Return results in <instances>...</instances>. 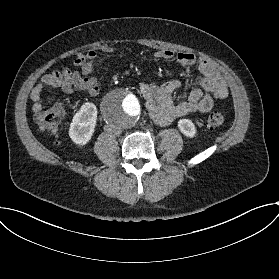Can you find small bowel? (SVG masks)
I'll return each instance as SVG.
<instances>
[{"label":"small bowel","instance_id":"c3829d8e","mask_svg":"<svg viewBox=\"0 0 279 279\" xmlns=\"http://www.w3.org/2000/svg\"><path fill=\"white\" fill-rule=\"evenodd\" d=\"M102 50L111 53L113 48L105 45ZM97 52L88 50L75 57V65L80 71H53L42 76L30 93L32 111L41 112L51 100L43 97L46 88H60L66 94L85 92L92 97L99 94V82L92 77L95 71ZM156 60H176L183 67L196 66L201 75L196 79L197 87L189 93L188 99L183 100L174 94L181 87L179 80L157 83L152 80H143L139 83V90L145 100V108L149 117L158 125L166 126L174 120L191 112L206 113L213 107L215 99H224L229 90L225 79L205 59L190 52L175 53L171 49H160L154 53Z\"/></svg>","mask_w":279,"mask_h":279}]
</instances>
